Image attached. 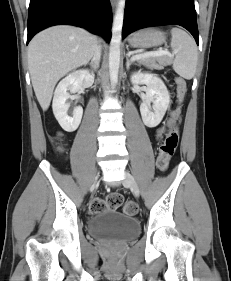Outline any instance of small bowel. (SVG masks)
<instances>
[{
	"label": "small bowel",
	"mask_w": 231,
	"mask_h": 281,
	"mask_svg": "<svg viewBox=\"0 0 231 281\" xmlns=\"http://www.w3.org/2000/svg\"><path fill=\"white\" fill-rule=\"evenodd\" d=\"M179 113H180V110L178 108H173L170 111V117L166 120L165 125L163 127H160L157 130V137H160L163 135V133L166 130V127L171 126L172 124L176 123V121H178Z\"/></svg>",
	"instance_id": "1"
}]
</instances>
